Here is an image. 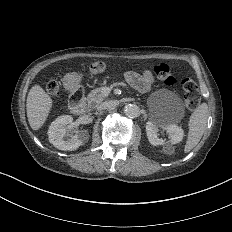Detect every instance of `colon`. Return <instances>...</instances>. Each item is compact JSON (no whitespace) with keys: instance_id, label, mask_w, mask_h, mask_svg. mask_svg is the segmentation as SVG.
Here are the masks:
<instances>
[{"instance_id":"colon-1","label":"colon","mask_w":232,"mask_h":232,"mask_svg":"<svg viewBox=\"0 0 232 232\" xmlns=\"http://www.w3.org/2000/svg\"><path fill=\"white\" fill-rule=\"evenodd\" d=\"M102 61H95L86 65L87 73H90L91 76H98L99 73H103ZM153 71L159 83L166 87L178 86H189L185 90L186 94H181V99H186V106L183 107L184 111H198V107H201V102H199V97H195V94H201L203 91V86H191L192 82L189 77H180L179 81L176 75L171 74L164 63L157 62L153 66ZM47 94H54V97H59V89L56 87L55 81L47 82ZM57 98V103H58ZM51 103H56V98H51Z\"/></svg>"}]
</instances>
